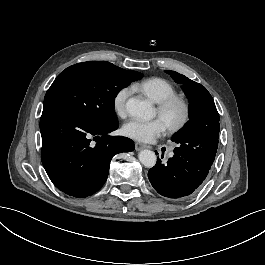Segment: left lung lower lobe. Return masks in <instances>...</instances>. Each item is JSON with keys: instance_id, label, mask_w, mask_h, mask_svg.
Wrapping results in <instances>:
<instances>
[{"instance_id": "obj_1", "label": "left lung lower lobe", "mask_w": 265, "mask_h": 265, "mask_svg": "<svg viewBox=\"0 0 265 265\" xmlns=\"http://www.w3.org/2000/svg\"><path fill=\"white\" fill-rule=\"evenodd\" d=\"M204 165H195L175 154L167 164L158 160L148 172L153 188L162 196L184 200L196 192L209 174Z\"/></svg>"}]
</instances>
